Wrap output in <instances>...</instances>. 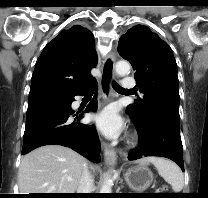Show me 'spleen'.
Listing matches in <instances>:
<instances>
[{"label":"spleen","instance_id":"obj_1","mask_svg":"<svg viewBox=\"0 0 208 198\" xmlns=\"http://www.w3.org/2000/svg\"><path fill=\"white\" fill-rule=\"evenodd\" d=\"M149 160L154 164L159 175H161V177L171 185L175 193H179L183 189V173L174 162L157 157H151Z\"/></svg>","mask_w":208,"mask_h":198}]
</instances>
